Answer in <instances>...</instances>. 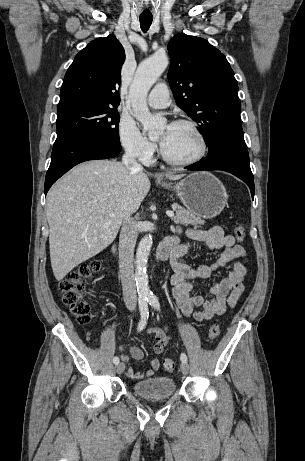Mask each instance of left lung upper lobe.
I'll return each instance as SVG.
<instances>
[{"mask_svg": "<svg viewBox=\"0 0 305 461\" xmlns=\"http://www.w3.org/2000/svg\"><path fill=\"white\" fill-rule=\"evenodd\" d=\"M168 52V79L176 104L199 124L210 151L219 132L241 125L234 72L226 57L203 38L177 34Z\"/></svg>", "mask_w": 305, "mask_h": 461, "instance_id": "obj_1", "label": "left lung upper lobe"}]
</instances>
